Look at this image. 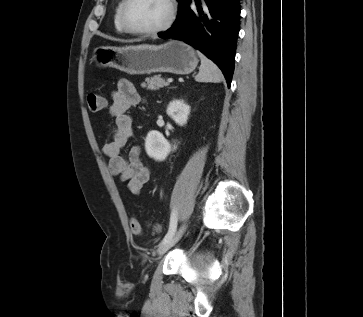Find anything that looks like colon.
I'll use <instances>...</instances> for the list:
<instances>
[{
    "label": "colon",
    "mask_w": 363,
    "mask_h": 317,
    "mask_svg": "<svg viewBox=\"0 0 363 317\" xmlns=\"http://www.w3.org/2000/svg\"><path fill=\"white\" fill-rule=\"evenodd\" d=\"M87 104L89 110L93 113L101 111L105 105L106 101L103 96L97 93H90L87 97ZM130 228L133 234L140 235L142 233V226L136 217L130 218ZM154 230L158 231V226H154Z\"/></svg>",
    "instance_id": "colon-1"
}]
</instances>
